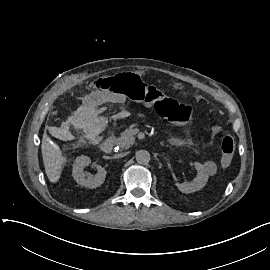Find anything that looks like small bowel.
<instances>
[{
	"mask_svg": "<svg viewBox=\"0 0 270 270\" xmlns=\"http://www.w3.org/2000/svg\"><path fill=\"white\" fill-rule=\"evenodd\" d=\"M176 88H180V84H175ZM125 97L122 94H117L113 92H100L96 94L97 103H113L121 104L125 102Z\"/></svg>",
	"mask_w": 270,
	"mask_h": 270,
	"instance_id": "small-bowel-1",
	"label": "small bowel"
}]
</instances>
